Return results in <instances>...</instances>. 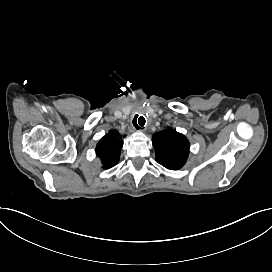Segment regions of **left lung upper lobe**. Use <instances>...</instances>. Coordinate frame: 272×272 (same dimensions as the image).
Here are the masks:
<instances>
[{"label":"left lung upper lobe","mask_w":272,"mask_h":272,"mask_svg":"<svg viewBox=\"0 0 272 272\" xmlns=\"http://www.w3.org/2000/svg\"><path fill=\"white\" fill-rule=\"evenodd\" d=\"M156 161L170 170L184 166L189 154V141L175 129L168 128L153 135Z\"/></svg>","instance_id":"1"}]
</instances>
